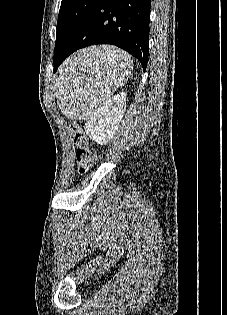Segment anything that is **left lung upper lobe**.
<instances>
[{"label":"left lung upper lobe","mask_w":227,"mask_h":315,"mask_svg":"<svg viewBox=\"0 0 227 315\" xmlns=\"http://www.w3.org/2000/svg\"><path fill=\"white\" fill-rule=\"evenodd\" d=\"M101 0H62L58 15L55 53L63 50Z\"/></svg>","instance_id":"obj_1"}]
</instances>
